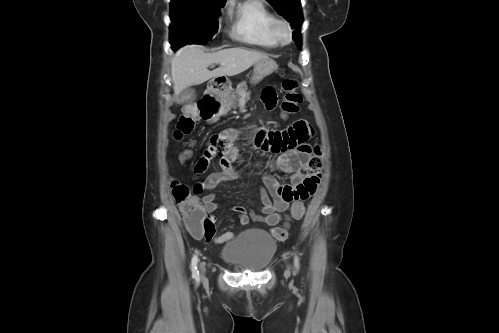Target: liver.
Wrapping results in <instances>:
<instances>
[{
  "instance_id": "liver-1",
  "label": "liver",
  "mask_w": 499,
  "mask_h": 333,
  "mask_svg": "<svg viewBox=\"0 0 499 333\" xmlns=\"http://www.w3.org/2000/svg\"><path fill=\"white\" fill-rule=\"evenodd\" d=\"M268 58L265 53L239 47L205 53L199 45L184 46L171 60L174 93L179 95L187 87L200 85L211 78L238 75ZM214 63H219L220 67L209 71L208 67Z\"/></svg>"
}]
</instances>
